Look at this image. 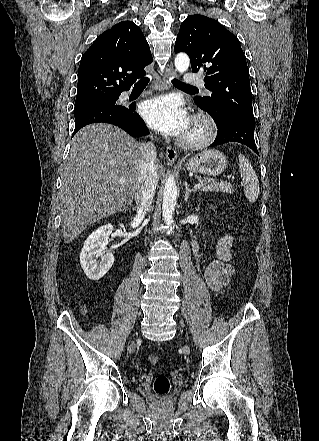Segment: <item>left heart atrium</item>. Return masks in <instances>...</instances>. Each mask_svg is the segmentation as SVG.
<instances>
[{
  "label": "left heart atrium",
  "mask_w": 319,
  "mask_h": 441,
  "mask_svg": "<svg viewBox=\"0 0 319 441\" xmlns=\"http://www.w3.org/2000/svg\"><path fill=\"white\" fill-rule=\"evenodd\" d=\"M140 111L148 125L163 134L181 136L189 128L187 113L173 96L147 99L141 104Z\"/></svg>",
  "instance_id": "obj_1"
}]
</instances>
